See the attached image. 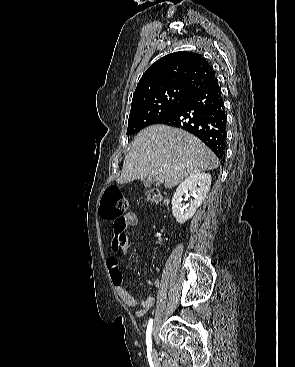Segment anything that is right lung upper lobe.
<instances>
[{"instance_id": "right-lung-upper-lobe-1", "label": "right lung upper lobe", "mask_w": 295, "mask_h": 367, "mask_svg": "<svg viewBox=\"0 0 295 367\" xmlns=\"http://www.w3.org/2000/svg\"><path fill=\"white\" fill-rule=\"evenodd\" d=\"M216 80L206 59L196 53L180 51L168 54L142 75L132 103L138 99L167 90H185L193 93Z\"/></svg>"}]
</instances>
